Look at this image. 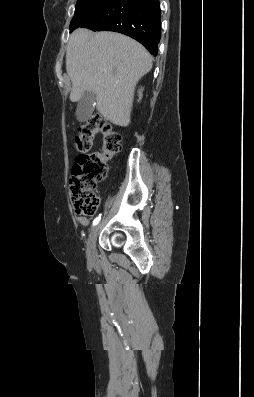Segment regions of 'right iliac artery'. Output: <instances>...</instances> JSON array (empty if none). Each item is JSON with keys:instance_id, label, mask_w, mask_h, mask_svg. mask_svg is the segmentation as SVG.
I'll return each mask as SVG.
<instances>
[{"instance_id": "obj_1", "label": "right iliac artery", "mask_w": 254, "mask_h": 397, "mask_svg": "<svg viewBox=\"0 0 254 397\" xmlns=\"http://www.w3.org/2000/svg\"><path fill=\"white\" fill-rule=\"evenodd\" d=\"M100 219H101V214H100L98 217H96V218L94 219V221H93V226L96 225V224H98V222L100 221Z\"/></svg>"}]
</instances>
